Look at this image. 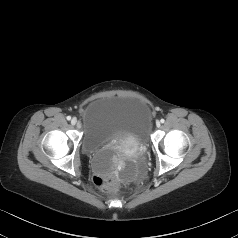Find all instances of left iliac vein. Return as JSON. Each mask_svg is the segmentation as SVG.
Instances as JSON below:
<instances>
[{
	"label": "left iliac vein",
	"instance_id": "4c4485c4",
	"mask_svg": "<svg viewBox=\"0 0 238 238\" xmlns=\"http://www.w3.org/2000/svg\"><path fill=\"white\" fill-rule=\"evenodd\" d=\"M160 125H161L160 122L157 121V122H156V126H157V127H160Z\"/></svg>",
	"mask_w": 238,
	"mask_h": 238
}]
</instances>
